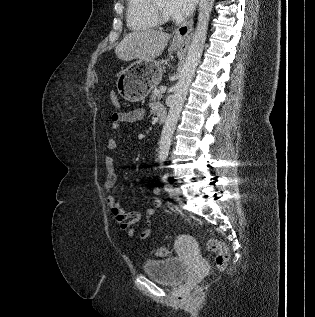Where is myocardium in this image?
<instances>
[{"label": "myocardium", "mask_w": 315, "mask_h": 317, "mask_svg": "<svg viewBox=\"0 0 315 317\" xmlns=\"http://www.w3.org/2000/svg\"><path fill=\"white\" fill-rule=\"evenodd\" d=\"M151 6H152L154 17L159 24H167L170 22L169 16L165 15L162 11H160L156 7L155 3H152Z\"/></svg>", "instance_id": "obj_1"}]
</instances>
